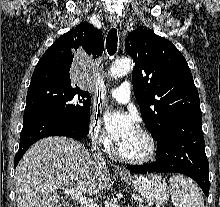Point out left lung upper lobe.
<instances>
[{
    "label": "left lung upper lobe",
    "instance_id": "left-lung-upper-lobe-1",
    "mask_svg": "<svg viewBox=\"0 0 220 207\" xmlns=\"http://www.w3.org/2000/svg\"><path fill=\"white\" fill-rule=\"evenodd\" d=\"M125 49L134 59V95L147 129L158 140L173 123L201 115L199 94L186 59L152 30L131 32Z\"/></svg>",
    "mask_w": 220,
    "mask_h": 207
}]
</instances>
